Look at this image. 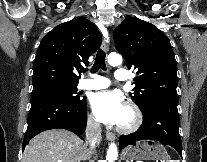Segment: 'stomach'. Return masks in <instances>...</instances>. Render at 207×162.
<instances>
[{
  "instance_id": "0dacf381",
  "label": "stomach",
  "mask_w": 207,
  "mask_h": 162,
  "mask_svg": "<svg viewBox=\"0 0 207 162\" xmlns=\"http://www.w3.org/2000/svg\"><path fill=\"white\" fill-rule=\"evenodd\" d=\"M123 157L126 162H133L134 160H166L168 159V154L163 145L145 140L129 146L123 152Z\"/></svg>"
}]
</instances>
